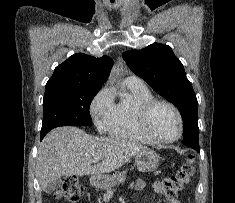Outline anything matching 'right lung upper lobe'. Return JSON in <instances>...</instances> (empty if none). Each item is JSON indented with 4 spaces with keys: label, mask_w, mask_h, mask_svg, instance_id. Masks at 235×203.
Masks as SVG:
<instances>
[{
    "label": "right lung upper lobe",
    "mask_w": 235,
    "mask_h": 203,
    "mask_svg": "<svg viewBox=\"0 0 235 203\" xmlns=\"http://www.w3.org/2000/svg\"><path fill=\"white\" fill-rule=\"evenodd\" d=\"M113 60L108 56L95 58L78 53L57 66L45 88L68 85L100 87L110 73Z\"/></svg>",
    "instance_id": "1"
}]
</instances>
